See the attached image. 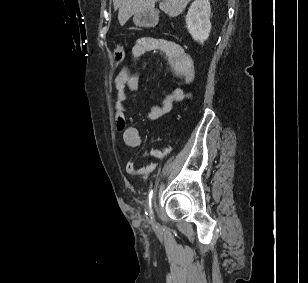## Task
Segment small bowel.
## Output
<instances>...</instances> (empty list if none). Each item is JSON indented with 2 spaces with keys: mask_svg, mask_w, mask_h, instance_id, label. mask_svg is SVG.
<instances>
[{
  "mask_svg": "<svg viewBox=\"0 0 308 283\" xmlns=\"http://www.w3.org/2000/svg\"><path fill=\"white\" fill-rule=\"evenodd\" d=\"M149 52H160L167 56L169 65L173 72L183 79L185 84H191L195 78L193 61L185 49L178 44L159 38L141 37L132 47V56L140 58ZM114 87L116 89L115 97V121L116 128L122 132V138L129 152L135 150L141 144V136L137 128L128 126L131 121L126 115L125 89L136 91L140 87V76L123 67L114 78ZM188 95L181 88H176L168 93L161 104H154L150 108V119L156 121L164 114L168 113L173 105L185 99ZM172 150V145L164 149H153L152 155L156 158H163ZM155 164L145 167H137L133 162L126 163V171L130 174H148L154 170Z\"/></svg>",
  "mask_w": 308,
  "mask_h": 283,
  "instance_id": "1",
  "label": "small bowel"
}]
</instances>
